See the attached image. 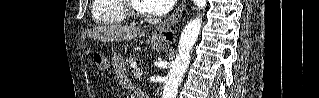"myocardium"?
Returning a JSON list of instances; mask_svg holds the SVG:
<instances>
[{"instance_id": "obj_1", "label": "myocardium", "mask_w": 319, "mask_h": 98, "mask_svg": "<svg viewBox=\"0 0 319 98\" xmlns=\"http://www.w3.org/2000/svg\"><path fill=\"white\" fill-rule=\"evenodd\" d=\"M122 5L127 18L139 19L145 16V12L137 7L132 0H123Z\"/></svg>"}]
</instances>
